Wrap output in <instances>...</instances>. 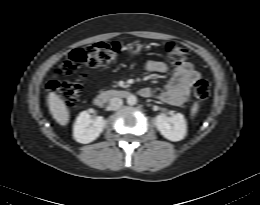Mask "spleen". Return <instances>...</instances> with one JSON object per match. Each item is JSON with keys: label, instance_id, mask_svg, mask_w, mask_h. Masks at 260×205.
I'll list each match as a JSON object with an SVG mask.
<instances>
[{"label": "spleen", "instance_id": "3e777b00", "mask_svg": "<svg viewBox=\"0 0 260 205\" xmlns=\"http://www.w3.org/2000/svg\"><path fill=\"white\" fill-rule=\"evenodd\" d=\"M198 109H199V105L198 103H195L191 109V115L194 116L198 112Z\"/></svg>", "mask_w": 260, "mask_h": 205}]
</instances>
